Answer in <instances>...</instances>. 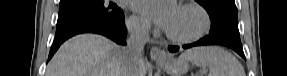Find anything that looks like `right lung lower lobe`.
<instances>
[{"instance_id": "98d812e1", "label": "right lung lower lobe", "mask_w": 287, "mask_h": 76, "mask_svg": "<svg viewBox=\"0 0 287 76\" xmlns=\"http://www.w3.org/2000/svg\"><path fill=\"white\" fill-rule=\"evenodd\" d=\"M85 32L102 34L118 44H125L126 27L124 25V17L115 23L106 25H85L56 35L54 45L51 47L49 52L48 61L53 57L54 53L65 40L76 34Z\"/></svg>"}]
</instances>
